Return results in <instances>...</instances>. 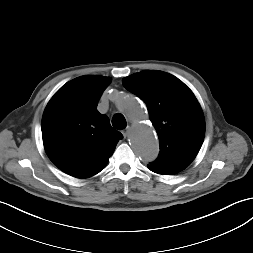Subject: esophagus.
<instances>
[{"label":"esophagus","mask_w":253,"mask_h":253,"mask_svg":"<svg viewBox=\"0 0 253 253\" xmlns=\"http://www.w3.org/2000/svg\"><path fill=\"white\" fill-rule=\"evenodd\" d=\"M129 131H130V127H127L126 129L123 130L122 133H123V135H124L125 138L128 136Z\"/></svg>","instance_id":"34e87169"}]
</instances>
